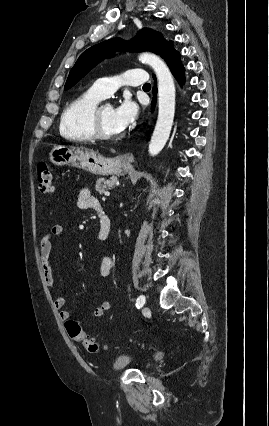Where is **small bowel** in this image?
<instances>
[{"mask_svg":"<svg viewBox=\"0 0 269 426\" xmlns=\"http://www.w3.org/2000/svg\"><path fill=\"white\" fill-rule=\"evenodd\" d=\"M78 207L80 209H94L99 210L100 204L98 200L91 195L89 189L84 188L80 191L78 196ZM64 234V227L62 224L53 225L49 232L46 233L40 240V259L43 268V274L46 281V284L49 288H52L54 285V274L53 269L50 263V256L52 252V240L54 238H60ZM115 265V259L111 255L105 256L100 264V272L103 277H107L112 268ZM54 306L58 311L59 318L62 321H67L71 318V313L67 311L65 307V298L62 295H57L54 298ZM111 308V303L107 300L101 302L93 311V316L95 318H101L108 312Z\"/></svg>","mask_w":269,"mask_h":426,"instance_id":"c3829d8e","label":"small bowel"}]
</instances>
